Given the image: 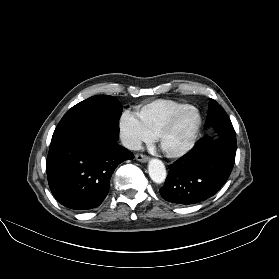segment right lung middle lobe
I'll return each mask as SVG.
<instances>
[{
	"label": "right lung middle lobe",
	"mask_w": 279,
	"mask_h": 279,
	"mask_svg": "<svg viewBox=\"0 0 279 279\" xmlns=\"http://www.w3.org/2000/svg\"><path fill=\"white\" fill-rule=\"evenodd\" d=\"M121 103L109 95H96L73 106L57 125L52 140L103 122L118 124Z\"/></svg>",
	"instance_id": "obj_1"
}]
</instances>
